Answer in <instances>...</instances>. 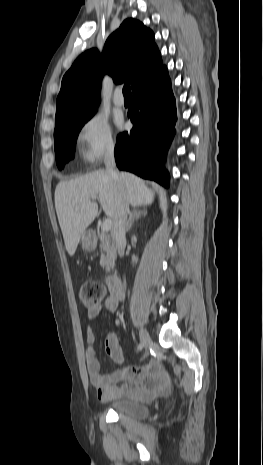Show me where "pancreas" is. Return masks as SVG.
<instances>
[{
  "label": "pancreas",
  "mask_w": 263,
  "mask_h": 465,
  "mask_svg": "<svg viewBox=\"0 0 263 465\" xmlns=\"http://www.w3.org/2000/svg\"><path fill=\"white\" fill-rule=\"evenodd\" d=\"M100 239V249L103 251L100 259V265L106 270L109 271L110 267L114 265L116 259V250L111 242L110 236L105 232H101L99 235Z\"/></svg>",
  "instance_id": "cf45deb5"
}]
</instances>
